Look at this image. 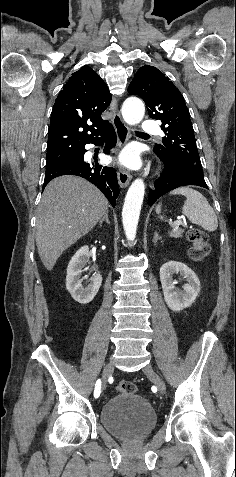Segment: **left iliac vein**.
Masks as SVG:
<instances>
[{
	"label": "left iliac vein",
	"mask_w": 236,
	"mask_h": 477,
	"mask_svg": "<svg viewBox=\"0 0 236 477\" xmlns=\"http://www.w3.org/2000/svg\"><path fill=\"white\" fill-rule=\"evenodd\" d=\"M145 375L151 379L154 384L157 386L159 392L161 394H165L166 392V385L164 380L156 373V371L152 368L151 365H146L143 369Z\"/></svg>",
	"instance_id": "1"
}]
</instances>
